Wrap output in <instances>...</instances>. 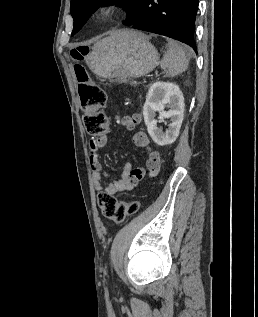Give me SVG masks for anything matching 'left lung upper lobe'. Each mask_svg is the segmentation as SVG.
I'll list each match as a JSON object with an SVG mask.
<instances>
[{"mask_svg":"<svg viewBox=\"0 0 258 317\" xmlns=\"http://www.w3.org/2000/svg\"><path fill=\"white\" fill-rule=\"evenodd\" d=\"M141 1L142 0H71L70 12L74 19L72 35L77 33L90 15L103 5L116 4L123 6L128 13V18L125 22L128 24L135 16Z\"/></svg>","mask_w":258,"mask_h":317,"instance_id":"5c2ea615","label":"left lung upper lobe"}]
</instances>
